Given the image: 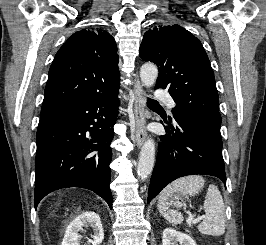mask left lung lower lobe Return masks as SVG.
Segmentation results:
<instances>
[{"mask_svg": "<svg viewBox=\"0 0 266 245\" xmlns=\"http://www.w3.org/2000/svg\"><path fill=\"white\" fill-rule=\"evenodd\" d=\"M165 123L167 134L160 136L147 202L171 181L187 175L215 176L226 186L220 125L186 113L174 114V125Z\"/></svg>", "mask_w": 266, "mask_h": 245, "instance_id": "1", "label": "left lung lower lobe"}]
</instances>
